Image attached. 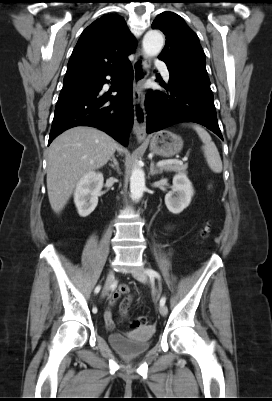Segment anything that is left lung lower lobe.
Returning a JSON list of instances; mask_svg holds the SVG:
<instances>
[{"mask_svg":"<svg viewBox=\"0 0 272 401\" xmlns=\"http://www.w3.org/2000/svg\"><path fill=\"white\" fill-rule=\"evenodd\" d=\"M166 92L150 90L146 94L147 132L152 133L180 122L199 123L222 140L210 81L169 69Z\"/></svg>","mask_w":272,"mask_h":401,"instance_id":"1","label":"left lung lower lobe"}]
</instances>
